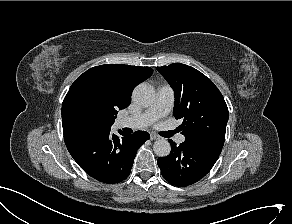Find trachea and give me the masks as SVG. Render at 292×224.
<instances>
[{
  "mask_svg": "<svg viewBox=\"0 0 292 224\" xmlns=\"http://www.w3.org/2000/svg\"><path fill=\"white\" fill-rule=\"evenodd\" d=\"M174 133H176V131H168V132H166V137H170V136H172Z\"/></svg>",
  "mask_w": 292,
  "mask_h": 224,
  "instance_id": "1",
  "label": "trachea"
}]
</instances>
